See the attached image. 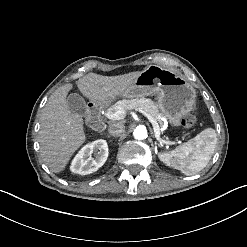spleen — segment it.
<instances>
[{
    "mask_svg": "<svg viewBox=\"0 0 247 247\" xmlns=\"http://www.w3.org/2000/svg\"><path fill=\"white\" fill-rule=\"evenodd\" d=\"M217 143L213 128H206L192 140L176 147L169 153H160L159 159L185 175H193L209 163Z\"/></svg>",
    "mask_w": 247,
    "mask_h": 247,
    "instance_id": "1",
    "label": "spleen"
}]
</instances>
